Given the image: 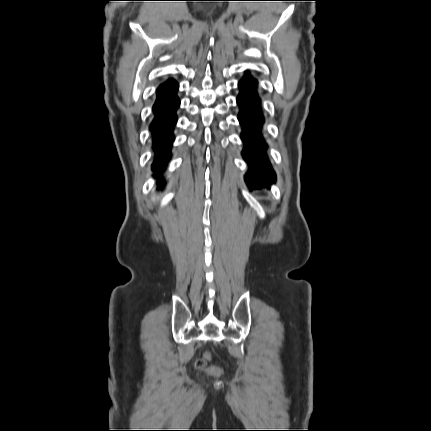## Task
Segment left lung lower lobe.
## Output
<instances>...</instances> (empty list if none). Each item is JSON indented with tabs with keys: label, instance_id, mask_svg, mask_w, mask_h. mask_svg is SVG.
Wrapping results in <instances>:
<instances>
[{
	"label": "left lung lower lobe",
	"instance_id": "0a47b994",
	"mask_svg": "<svg viewBox=\"0 0 431 431\" xmlns=\"http://www.w3.org/2000/svg\"><path fill=\"white\" fill-rule=\"evenodd\" d=\"M257 85V80L247 72L239 82L240 93L237 98L240 110L238 119L243 129L242 155L249 166L245 181L250 189H261L276 182V173L268 160L267 144L262 135L264 118Z\"/></svg>",
	"mask_w": 431,
	"mask_h": 431
}]
</instances>
